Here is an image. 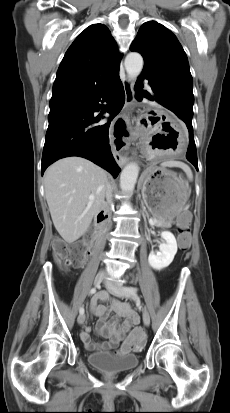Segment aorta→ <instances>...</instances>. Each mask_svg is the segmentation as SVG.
Returning a JSON list of instances; mask_svg holds the SVG:
<instances>
[{
	"label": "aorta",
	"instance_id": "obj_1",
	"mask_svg": "<svg viewBox=\"0 0 230 413\" xmlns=\"http://www.w3.org/2000/svg\"><path fill=\"white\" fill-rule=\"evenodd\" d=\"M125 69L129 77L136 78L143 69V58L139 53H129L125 58ZM139 174V166L136 163L127 164L120 175V188L122 192L130 194L135 188Z\"/></svg>",
	"mask_w": 230,
	"mask_h": 413
}]
</instances>
